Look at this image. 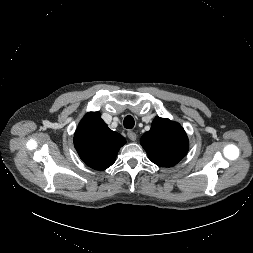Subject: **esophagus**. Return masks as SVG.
Masks as SVG:
<instances>
[{
    "mask_svg": "<svg viewBox=\"0 0 253 253\" xmlns=\"http://www.w3.org/2000/svg\"><path fill=\"white\" fill-rule=\"evenodd\" d=\"M127 136L131 141H136L137 139V135L136 133H134L133 131H128L127 132Z\"/></svg>",
    "mask_w": 253,
    "mask_h": 253,
    "instance_id": "34e87169",
    "label": "esophagus"
}]
</instances>
